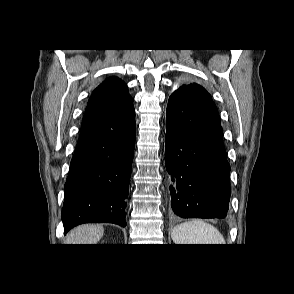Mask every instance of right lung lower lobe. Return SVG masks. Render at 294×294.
I'll list each match as a JSON object with an SVG mask.
<instances>
[{"instance_id": "1", "label": "right lung lower lobe", "mask_w": 294, "mask_h": 294, "mask_svg": "<svg viewBox=\"0 0 294 294\" xmlns=\"http://www.w3.org/2000/svg\"><path fill=\"white\" fill-rule=\"evenodd\" d=\"M134 144L132 98L109 110L85 113L64 188L65 233L89 222L126 226Z\"/></svg>"}]
</instances>
